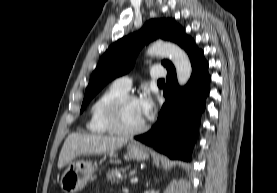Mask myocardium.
<instances>
[{"label":"myocardium","instance_id":"myocardium-1","mask_svg":"<svg viewBox=\"0 0 277 193\" xmlns=\"http://www.w3.org/2000/svg\"><path fill=\"white\" fill-rule=\"evenodd\" d=\"M136 97L132 94H123L111 100L104 109V120L111 133L120 136H133L143 132L147 128V123L144 122L140 126L133 129H126L122 126L120 120L121 109L129 100H135Z\"/></svg>","mask_w":277,"mask_h":193}]
</instances>
